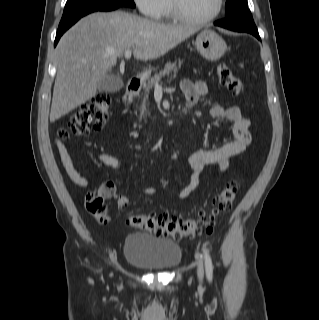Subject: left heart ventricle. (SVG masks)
Wrapping results in <instances>:
<instances>
[{
    "label": "left heart ventricle",
    "mask_w": 319,
    "mask_h": 320,
    "mask_svg": "<svg viewBox=\"0 0 319 320\" xmlns=\"http://www.w3.org/2000/svg\"><path fill=\"white\" fill-rule=\"evenodd\" d=\"M181 10L193 18L210 16L217 7L218 0H177Z\"/></svg>",
    "instance_id": "obj_1"
}]
</instances>
